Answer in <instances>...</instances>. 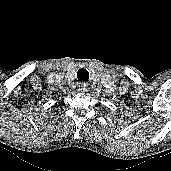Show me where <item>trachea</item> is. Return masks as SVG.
<instances>
[{"mask_svg":"<svg viewBox=\"0 0 171 171\" xmlns=\"http://www.w3.org/2000/svg\"><path fill=\"white\" fill-rule=\"evenodd\" d=\"M77 78H78L79 81H88L89 72L86 69L81 68L77 72Z\"/></svg>","mask_w":171,"mask_h":171,"instance_id":"1","label":"trachea"}]
</instances>
